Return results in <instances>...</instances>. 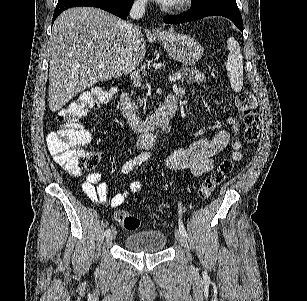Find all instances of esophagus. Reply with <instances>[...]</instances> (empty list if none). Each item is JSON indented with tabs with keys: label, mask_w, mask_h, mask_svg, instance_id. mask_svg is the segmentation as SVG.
I'll list each match as a JSON object with an SVG mask.
<instances>
[{
	"label": "esophagus",
	"mask_w": 307,
	"mask_h": 301,
	"mask_svg": "<svg viewBox=\"0 0 307 301\" xmlns=\"http://www.w3.org/2000/svg\"><path fill=\"white\" fill-rule=\"evenodd\" d=\"M152 33H153V35L159 36V35H162L164 32H163V30H161L159 28H153Z\"/></svg>",
	"instance_id": "34e87169"
}]
</instances>
